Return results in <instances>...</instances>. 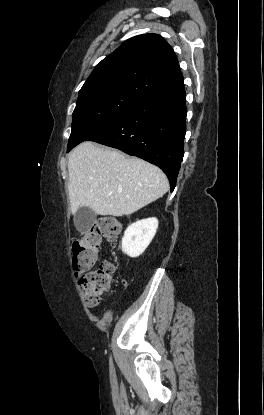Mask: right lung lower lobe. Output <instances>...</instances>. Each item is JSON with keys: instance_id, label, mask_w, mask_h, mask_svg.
<instances>
[{"instance_id": "98d812e1", "label": "right lung lower lobe", "mask_w": 264, "mask_h": 415, "mask_svg": "<svg viewBox=\"0 0 264 415\" xmlns=\"http://www.w3.org/2000/svg\"><path fill=\"white\" fill-rule=\"evenodd\" d=\"M186 92L181 82L147 96L87 140L159 166L173 191L184 155Z\"/></svg>"}]
</instances>
